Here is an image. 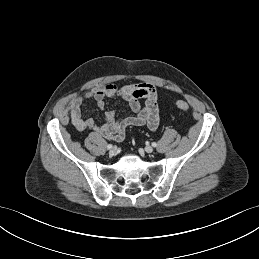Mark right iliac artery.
I'll return each instance as SVG.
<instances>
[{"label": "right iliac artery", "mask_w": 259, "mask_h": 259, "mask_svg": "<svg viewBox=\"0 0 259 259\" xmlns=\"http://www.w3.org/2000/svg\"><path fill=\"white\" fill-rule=\"evenodd\" d=\"M112 147H113L112 144H108V145H107V149H111Z\"/></svg>", "instance_id": "right-iliac-artery-1"}]
</instances>
